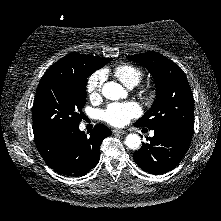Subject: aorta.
<instances>
[{"instance_id": "762f6f07", "label": "aorta", "mask_w": 221, "mask_h": 221, "mask_svg": "<svg viewBox=\"0 0 221 221\" xmlns=\"http://www.w3.org/2000/svg\"><path fill=\"white\" fill-rule=\"evenodd\" d=\"M102 95L110 100H119L127 96L123 86L116 82H107L102 87ZM125 144L129 149L136 150L141 145V138L138 134H129L125 139Z\"/></svg>"}]
</instances>
